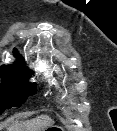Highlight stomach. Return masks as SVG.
<instances>
[{
	"label": "stomach",
	"instance_id": "stomach-1",
	"mask_svg": "<svg viewBox=\"0 0 117 131\" xmlns=\"http://www.w3.org/2000/svg\"><path fill=\"white\" fill-rule=\"evenodd\" d=\"M46 130H63V128L60 126H50Z\"/></svg>",
	"mask_w": 117,
	"mask_h": 131
}]
</instances>
